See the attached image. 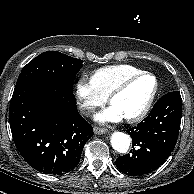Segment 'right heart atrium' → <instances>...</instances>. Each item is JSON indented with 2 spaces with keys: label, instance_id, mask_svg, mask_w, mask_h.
Returning <instances> with one entry per match:
<instances>
[{
  "label": "right heart atrium",
  "instance_id": "1",
  "mask_svg": "<svg viewBox=\"0 0 194 194\" xmlns=\"http://www.w3.org/2000/svg\"><path fill=\"white\" fill-rule=\"evenodd\" d=\"M75 95L77 105L82 114L89 116L93 111L102 106L106 102V98L102 97L95 89L92 81L86 76H81L75 84Z\"/></svg>",
  "mask_w": 194,
  "mask_h": 194
}]
</instances>
